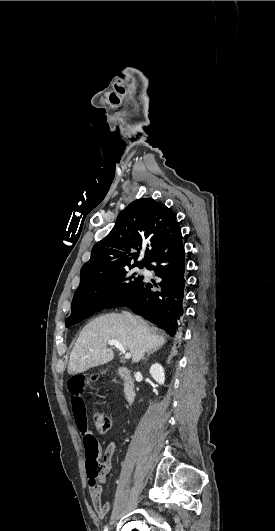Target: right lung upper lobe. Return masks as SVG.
<instances>
[{
	"label": "right lung upper lobe",
	"instance_id": "1",
	"mask_svg": "<svg viewBox=\"0 0 275 531\" xmlns=\"http://www.w3.org/2000/svg\"><path fill=\"white\" fill-rule=\"evenodd\" d=\"M177 227L174 213L164 204L151 198L132 202L119 213L110 233L93 247L81 269L79 287L121 268L146 266ZM143 247L145 257L137 262Z\"/></svg>",
	"mask_w": 275,
	"mask_h": 531
}]
</instances>
